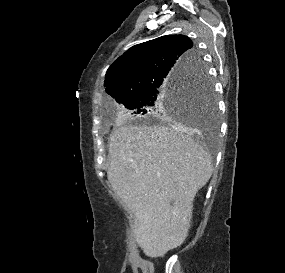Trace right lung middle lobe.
<instances>
[{
    "instance_id": "obj_1",
    "label": "right lung middle lobe",
    "mask_w": 285,
    "mask_h": 273,
    "mask_svg": "<svg viewBox=\"0 0 285 273\" xmlns=\"http://www.w3.org/2000/svg\"><path fill=\"white\" fill-rule=\"evenodd\" d=\"M123 105L133 113L164 120L191 121L217 127L214 87L204 66L129 99Z\"/></svg>"
}]
</instances>
